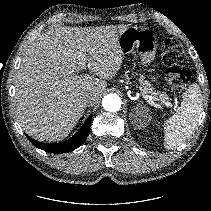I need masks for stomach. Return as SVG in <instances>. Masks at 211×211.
<instances>
[{
    "label": "stomach",
    "mask_w": 211,
    "mask_h": 211,
    "mask_svg": "<svg viewBox=\"0 0 211 211\" xmlns=\"http://www.w3.org/2000/svg\"><path fill=\"white\" fill-rule=\"evenodd\" d=\"M118 47L122 55L136 51L140 56L141 64L147 66L155 58L157 41L149 29L128 26L119 35Z\"/></svg>",
    "instance_id": "0dacf381"
}]
</instances>
